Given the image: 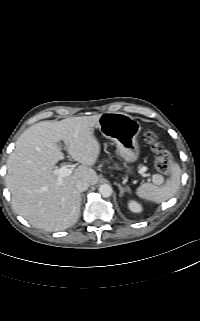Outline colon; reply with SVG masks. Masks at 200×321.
<instances>
[{"label":"colon","mask_w":200,"mask_h":321,"mask_svg":"<svg viewBox=\"0 0 200 321\" xmlns=\"http://www.w3.org/2000/svg\"><path fill=\"white\" fill-rule=\"evenodd\" d=\"M145 140L151 146L155 154V166L157 170L167 174L170 170L171 155L161 146L154 133H147Z\"/></svg>","instance_id":"obj_1"}]
</instances>
